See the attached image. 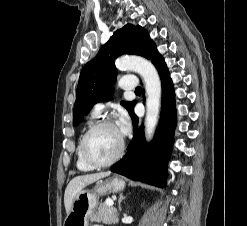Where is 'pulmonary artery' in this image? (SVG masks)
<instances>
[{
    "instance_id": "e3ab8cb5",
    "label": "pulmonary artery",
    "mask_w": 247,
    "mask_h": 226,
    "mask_svg": "<svg viewBox=\"0 0 247 226\" xmlns=\"http://www.w3.org/2000/svg\"><path fill=\"white\" fill-rule=\"evenodd\" d=\"M119 86L123 90H134L138 86V82L135 76H124L119 81ZM105 107L103 102H97L93 107L95 114H100Z\"/></svg>"
}]
</instances>
